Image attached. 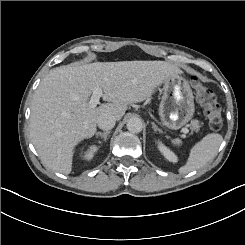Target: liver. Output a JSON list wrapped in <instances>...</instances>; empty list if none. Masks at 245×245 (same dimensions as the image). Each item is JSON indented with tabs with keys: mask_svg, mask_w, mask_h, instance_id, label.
Listing matches in <instances>:
<instances>
[{
	"mask_svg": "<svg viewBox=\"0 0 245 245\" xmlns=\"http://www.w3.org/2000/svg\"><path fill=\"white\" fill-rule=\"evenodd\" d=\"M179 71L167 61L153 60L97 61L52 69L35 91L29 119L30 136L42 164L68 174L73 147L96 132L100 114L120 119L128 102L149 97L151 89ZM97 86L109 102L90 109L86 100Z\"/></svg>",
	"mask_w": 245,
	"mask_h": 245,
	"instance_id": "6515ba94",
	"label": "liver"
}]
</instances>
